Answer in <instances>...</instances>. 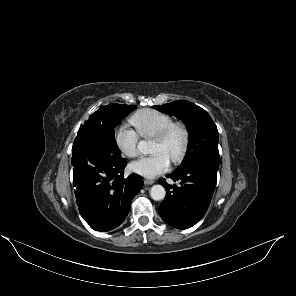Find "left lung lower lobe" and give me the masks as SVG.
Wrapping results in <instances>:
<instances>
[{
    "label": "left lung lower lobe",
    "instance_id": "left-lung-lower-lobe-1",
    "mask_svg": "<svg viewBox=\"0 0 296 296\" xmlns=\"http://www.w3.org/2000/svg\"><path fill=\"white\" fill-rule=\"evenodd\" d=\"M219 168V158L197 161L190 166L167 175L181 186L169 185L165 179L159 183L167 191L158 208L162 219L169 225L186 229L195 225L206 213L210 204Z\"/></svg>",
    "mask_w": 296,
    "mask_h": 296
}]
</instances>
